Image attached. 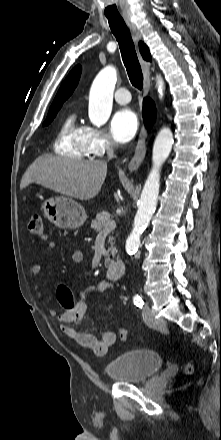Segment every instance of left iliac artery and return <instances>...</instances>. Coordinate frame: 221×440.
Returning <instances> with one entry per match:
<instances>
[{"label": "left iliac artery", "mask_w": 221, "mask_h": 440, "mask_svg": "<svg viewBox=\"0 0 221 440\" xmlns=\"http://www.w3.org/2000/svg\"><path fill=\"white\" fill-rule=\"evenodd\" d=\"M133 302L139 308H142L144 305V301L142 300V298L139 295H136L133 297Z\"/></svg>", "instance_id": "obj_1"}]
</instances>
